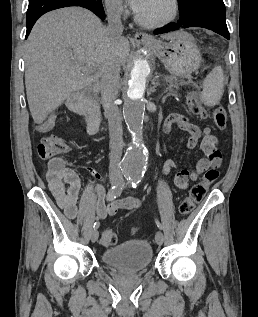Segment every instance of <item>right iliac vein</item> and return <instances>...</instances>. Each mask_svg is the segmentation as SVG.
<instances>
[{
  "label": "right iliac vein",
  "mask_w": 258,
  "mask_h": 317,
  "mask_svg": "<svg viewBox=\"0 0 258 317\" xmlns=\"http://www.w3.org/2000/svg\"><path fill=\"white\" fill-rule=\"evenodd\" d=\"M111 184H112V186H119L120 181H119V179H112ZM98 234L99 233H98V229L97 228H92L91 229L90 240H91L92 243L94 241L96 242V240H99L98 237H97Z\"/></svg>",
  "instance_id": "63e3f726"
}]
</instances>
